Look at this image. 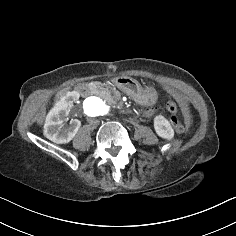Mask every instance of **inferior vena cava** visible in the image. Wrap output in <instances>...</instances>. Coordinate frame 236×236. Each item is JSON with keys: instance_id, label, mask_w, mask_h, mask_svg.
<instances>
[{"instance_id": "inferior-vena-cava-1", "label": "inferior vena cava", "mask_w": 236, "mask_h": 236, "mask_svg": "<svg viewBox=\"0 0 236 236\" xmlns=\"http://www.w3.org/2000/svg\"><path fill=\"white\" fill-rule=\"evenodd\" d=\"M88 123L91 125V126H96V125H99V120H92V119H89L88 120Z\"/></svg>"}]
</instances>
